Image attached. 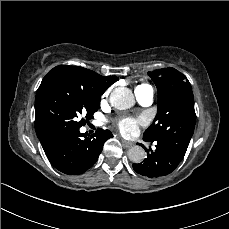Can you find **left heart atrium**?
Returning a JSON list of instances; mask_svg holds the SVG:
<instances>
[{"label":"left heart atrium","instance_id":"left-heart-atrium-1","mask_svg":"<svg viewBox=\"0 0 229 229\" xmlns=\"http://www.w3.org/2000/svg\"><path fill=\"white\" fill-rule=\"evenodd\" d=\"M120 132L126 136H133L139 133L140 127L146 122L142 118L123 117L115 122Z\"/></svg>","mask_w":229,"mask_h":229}]
</instances>
